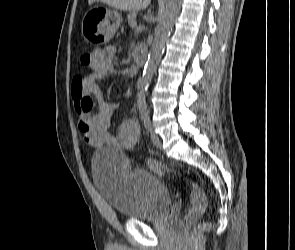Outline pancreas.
<instances>
[{
	"label": "pancreas",
	"mask_w": 295,
	"mask_h": 250,
	"mask_svg": "<svg viewBox=\"0 0 295 250\" xmlns=\"http://www.w3.org/2000/svg\"><path fill=\"white\" fill-rule=\"evenodd\" d=\"M137 17V13L136 12H130L128 15H127V18H128V22L129 24H131L132 22L135 21Z\"/></svg>",
	"instance_id": "1"
}]
</instances>
